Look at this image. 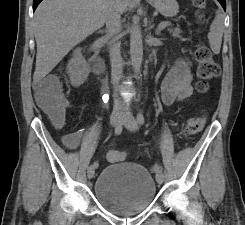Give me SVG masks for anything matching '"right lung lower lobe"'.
Segmentation results:
<instances>
[{
  "mask_svg": "<svg viewBox=\"0 0 245 225\" xmlns=\"http://www.w3.org/2000/svg\"><path fill=\"white\" fill-rule=\"evenodd\" d=\"M42 0H34L33 1V11L36 9V7L38 6V4L41 2Z\"/></svg>",
  "mask_w": 245,
  "mask_h": 225,
  "instance_id": "right-lung-lower-lobe-1",
  "label": "right lung lower lobe"
}]
</instances>
